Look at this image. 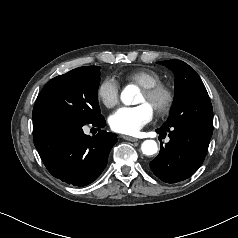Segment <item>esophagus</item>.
Instances as JSON below:
<instances>
[{
	"mask_svg": "<svg viewBox=\"0 0 238 238\" xmlns=\"http://www.w3.org/2000/svg\"><path fill=\"white\" fill-rule=\"evenodd\" d=\"M122 137H123V139L128 140V141H131V142L139 141V139L134 138V137H130V136H125V135H123Z\"/></svg>",
	"mask_w": 238,
	"mask_h": 238,
	"instance_id": "1",
	"label": "esophagus"
}]
</instances>
